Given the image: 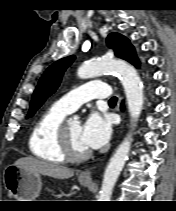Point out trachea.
<instances>
[{
    "label": "trachea",
    "mask_w": 176,
    "mask_h": 211,
    "mask_svg": "<svg viewBox=\"0 0 176 211\" xmlns=\"http://www.w3.org/2000/svg\"><path fill=\"white\" fill-rule=\"evenodd\" d=\"M117 102V97H112L110 100H109V103L110 104H116Z\"/></svg>",
    "instance_id": "obj_1"
}]
</instances>
